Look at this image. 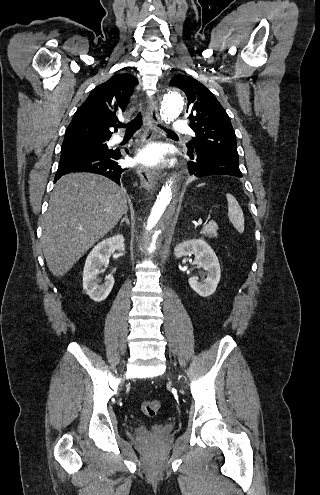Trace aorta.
Listing matches in <instances>:
<instances>
[{
  "label": "aorta",
  "instance_id": "1",
  "mask_svg": "<svg viewBox=\"0 0 320 495\" xmlns=\"http://www.w3.org/2000/svg\"><path fill=\"white\" fill-rule=\"evenodd\" d=\"M184 105L180 89H170L164 95L161 106V117L171 122L178 117ZM174 188L171 182L166 183L160 190L149 216L142 226L143 244L146 253L154 256L158 244L165 239V233L170 229L176 211L174 203Z\"/></svg>",
  "mask_w": 320,
  "mask_h": 495
}]
</instances>
